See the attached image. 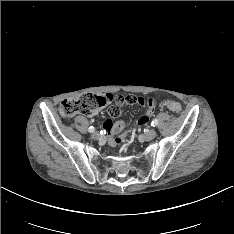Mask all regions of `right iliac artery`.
I'll return each mask as SVG.
<instances>
[{
    "label": "right iliac artery",
    "mask_w": 234,
    "mask_h": 234,
    "mask_svg": "<svg viewBox=\"0 0 234 234\" xmlns=\"http://www.w3.org/2000/svg\"><path fill=\"white\" fill-rule=\"evenodd\" d=\"M95 131V128L93 126L89 127V132L92 133Z\"/></svg>",
    "instance_id": "right-iliac-artery-1"
}]
</instances>
